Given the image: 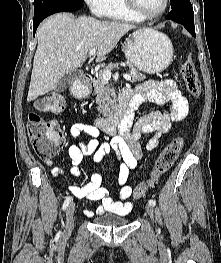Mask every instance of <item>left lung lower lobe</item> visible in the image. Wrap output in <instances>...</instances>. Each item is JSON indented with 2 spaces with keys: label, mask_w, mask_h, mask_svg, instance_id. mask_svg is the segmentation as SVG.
Here are the masks:
<instances>
[{
  "label": "left lung lower lobe",
  "mask_w": 221,
  "mask_h": 263,
  "mask_svg": "<svg viewBox=\"0 0 221 263\" xmlns=\"http://www.w3.org/2000/svg\"><path fill=\"white\" fill-rule=\"evenodd\" d=\"M165 18L182 24L195 37L194 12L191 3L172 8Z\"/></svg>",
  "instance_id": "left-lung-lower-lobe-1"
}]
</instances>
